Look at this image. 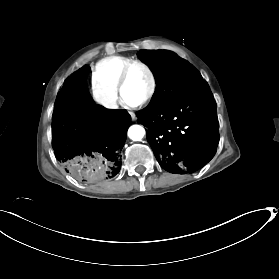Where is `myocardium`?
Returning a JSON list of instances; mask_svg holds the SVG:
<instances>
[{"label":"myocardium","instance_id":"obj_1","mask_svg":"<svg viewBox=\"0 0 279 279\" xmlns=\"http://www.w3.org/2000/svg\"><path fill=\"white\" fill-rule=\"evenodd\" d=\"M135 66H139V67L143 68L149 75L150 82H151L150 89H149V92L147 93V95L141 101L132 105V106L138 107V106L145 105L154 97V95L156 93V89H157V81H156V76L149 65H147L146 63H144L140 60H132L121 70L119 77H118L117 91L123 102H124L123 95H124V89L126 86L127 78H128V75H129L131 69Z\"/></svg>","mask_w":279,"mask_h":279}]
</instances>
